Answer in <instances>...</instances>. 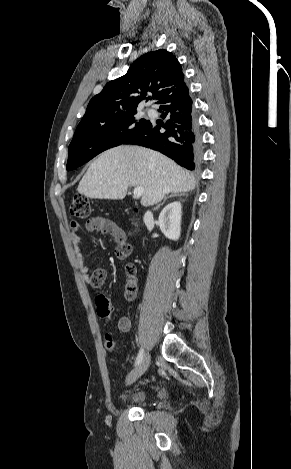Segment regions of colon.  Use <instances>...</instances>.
I'll return each instance as SVG.
<instances>
[{"instance_id": "obj_1", "label": "colon", "mask_w": 291, "mask_h": 469, "mask_svg": "<svg viewBox=\"0 0 291 469\" xmlns=\"http://www.w3.org/2000/svg\"><path fill=\"white\" fill-rule=\"evenodd\" d=\"M69 212L71 216L78 219H86L91 214V205L89 199L82 194H78L74 197ZM131 251L129 245H124L117 250V256L122 257L128 255ZM125 274L127 277V288L132 296L137 290V283L135 280L136 268L133 264H127L125 266ZM93 302L96 304V311L99 313L101 320H107L113 311V306L110 304L109 293H96ZM104 344L107 350L115 351L116 345L112 337L108 334L104 335Z\"/></svg>"}]
</instances>
